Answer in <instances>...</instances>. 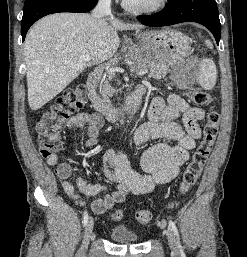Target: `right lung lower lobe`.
Returning a JSON list of instances; mask_svg holds the SVG:
<instances>
[{
    "label": "right lung lower lobe",
    "instance_id": "98d812e1",
    "mask_svg": "<svg viewBox=\"0 0 247 257\" xmlns=\"http://www.w3.org/2000/svg\"><path fill=\"white\" fill-rule=\"evenodd\" d=\"M98 0H25L21 21V35L24 41L31 25L38 19L57 12H88Z\"/></svg>",
    "mask_w": 247,
    "mask_h": 257
}]
</instances>
